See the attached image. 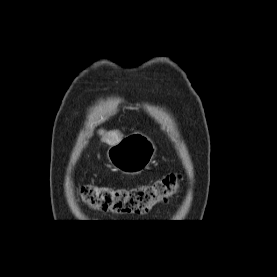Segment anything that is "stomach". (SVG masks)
Masks as SVG:
<instances>
[{
	"label": "stomach",
	"mask_w": 277,
	"mask_h": 277,
	"mask_svg": "<svg viewBox=\"0 0 277 277\" xmlns=\"http://www.w3.org/2000/svg\"><path fill=\"white\" fill-rule=\"evenodd\" d=\"M156 153L154 142L147 135L136 132L123 138L107 151L111 166L125 174H138L151 164Z\"/></svg>",
	"instance_id": "obj_1"
}]
</instances>
